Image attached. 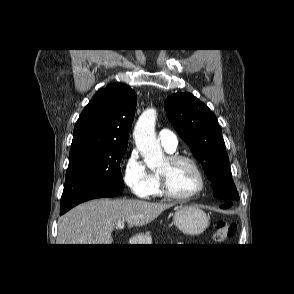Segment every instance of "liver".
I'll return each mask as SVG.
<instances>
[{"mask_svg": "<svg viewBox=\"0 0 294 294\" xmlns=\"http://www.w3.org/2000/svg\"><path fill=\"white\" fill-rule=\"evenodd\" d=\"M172 206L133 199L91 200L59 219L57 244H112L118 222H127L129 228L143 226Z\"/></svg>", "mask_w": 294, "mask_h": 294, "instance_id": "obj_1", "label": "liver"}]
</instances>
